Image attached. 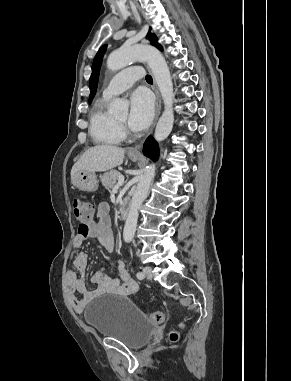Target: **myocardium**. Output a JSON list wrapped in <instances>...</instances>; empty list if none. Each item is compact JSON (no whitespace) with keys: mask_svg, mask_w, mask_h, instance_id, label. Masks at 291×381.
Listing matches in <instances>:
<instances>
[{"mask_svg":"<svg viewBox=\"0 0 291 381\" xmlns=\"http://www.w3.org/2000/svg\"><path fill=\"white\" fill-rule=\"evenodd\" d=\"M117 121V124L120 128V130L122 131L123 134H128L129 133V130H128V127L126 125V123H123L119 120H116Z\"/></svg>","mask_w":291,"mask_h":381,"instance_id":"myocardium-1","label":"myocardium"}]
</instances>
